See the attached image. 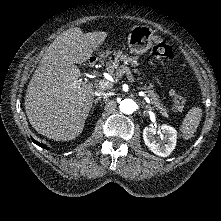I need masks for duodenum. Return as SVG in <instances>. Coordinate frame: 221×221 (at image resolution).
<instances>
[{
  "instance_id": "1",
  "label": "duodenum",
  "mask_w": 221,
  "mask_h": 221,
  "mask_svg": "<svg viewBox=\"0 0 221 221\" xmlns=\"http://www.w3.org/2000/svg\"><path fill=\"white\" fill-rule=\"evenodd\" d=\"M89 65H90L91 67L94 65V60H93V59H91V60L89 61Z\"/></svg>"
}]
</instances>
